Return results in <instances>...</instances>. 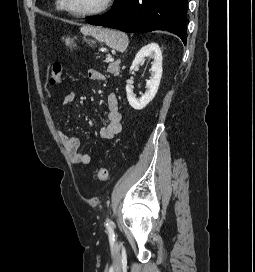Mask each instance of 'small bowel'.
<instances>
[{
    "instance_id": "c3829d8e",
    "label": "small bowel",
    "mask_w": 255,
    "mask_h": 272,
    "mask_svg": "<svg viewBox=\"0 0 255 272\" xmlns=\"http://www.w3.org/2000/svg\"><path fill=\"white\" fill-rule=\"evenodd\" d=\"M87 75L88 78L93 81L106 80V76L103 73L94 69L89 70ZM75 97L76 94L74 92L66 93L63 97L62 105L66 106L71 104L75 100ZM121 119L122 117L121 113L119 112L117 95L111 93L107 99V124L101 128L100 136L106 140L115 138L122 129ZM59 138L73 163L83 165L90 163V156L80 151V143L76 137L68 136L60 131Z\"/></svg>"
}]
</instances>
